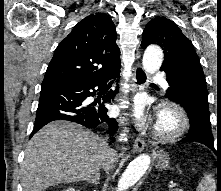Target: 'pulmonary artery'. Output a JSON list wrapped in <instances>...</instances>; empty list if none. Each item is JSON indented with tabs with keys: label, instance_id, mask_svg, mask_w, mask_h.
Listing matches in <instances>:
<instances>
[{
	"label": "pulmonary artery",
	"instance_id": "1",
	"mask_svg": "<svg viewBox=\"0 0 221 191\" xmlns=\"http://www.w3.org/2000/svg\"><path fill=\"white\" fill-rule=\"evenodd\" d=\"M153 79L159 81L164 87L168 86L166 80L161 77L160 73H155Z\"/></svg>",
	"mask_w": 221,
	"mask_h": 191
}]
</instances>
